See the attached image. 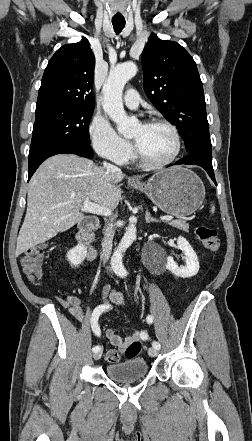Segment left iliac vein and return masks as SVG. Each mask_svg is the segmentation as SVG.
Segmentation results:
<instances>
[{
	"instance_id": "left-iliac-vein-1",
	"label": "left iliac vein",
	"mask_w": 252,
	"mask_h": 441,
	"mask_svg": "<svg viewBox=\"0 0 252 441\" xmlns=\"http://www.w3.org/2000/svg\"><path fill=\"white\" fill-rule=\"evenodd\" d=\"M148 353H149V355H150L151 357H156V356L158 355V349H156V348H150V349L148 350Z\"/></svg>"
}]
</instances>
